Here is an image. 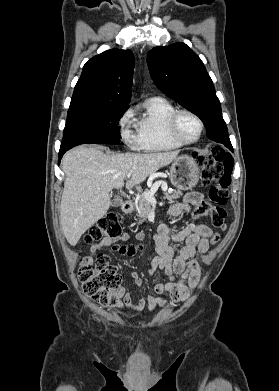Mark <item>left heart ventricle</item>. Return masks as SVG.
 Returning <instances> with one entry per match:
<instances>
[{
  "label": "left heart ventricle",
  "mask_w": 279,
  "mask_h": 391,
  "mask_svg": "<svg viewBox=\"0 0 279 391\" xmlns=\"http://www.w3.org/2000/svg\"><path fill=\"white\" fill-rule=\"evenodd\" d=\"M178 132L185 140H193L199 133V125L192 116L183 114L178 122Z\"/></svg>",
  "instance_id": "1"
}]
</instances>
